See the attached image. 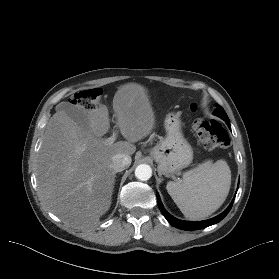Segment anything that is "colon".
Masks as SVG:
<instances>
[{"mask_svg": "<svg viewBox=\"0 0 279 279\" xmlns=\"http://www.w3.org/2000/svg\"><path fill=\"white\" fill-rule=\"evenodd\" d=\"M102 91L99 88L89 89L77 94L73 103L86 110L97 108ZM195 109V105H192ZM193 131L199 141L208 149L226 148L229 146V136L226 129L217 121L197 119L193 123Z\"/></svg>", "mask_w": 279, "mask_h": 279, "instance_id": "obj_1", "label": "colon"}]
</instances>
